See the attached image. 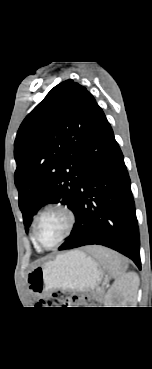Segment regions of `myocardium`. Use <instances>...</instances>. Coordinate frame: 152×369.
<instances>
[{
  "mask_svg": "<svg viewBox=\"0 0 152 369\" xmlns=\"http://www.w3.org/2000/svg\"><path fill=\"white\" fill-rule=\"evenodd\" d=\"M50 211H59L66 218V228L62 236L52 245L44 246L38 238V229L41 218ZM76 222V216L73 210L62 202H53L45 205L36 215L33 226V240L37 247L44 250H51L59 246L64 240H66L72 233Z\"/></svg>",
  "mask_w": 152,
  "mask_h": 369,
  "instance_id": "obj_1",
  "label": "myocardium"
}]
</instances>
